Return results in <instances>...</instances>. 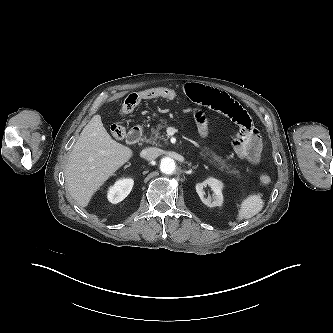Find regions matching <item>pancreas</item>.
Wrapping results in <instances>:
<instances>
[{
	"instance_id": "obj_1",
	"label": "pancreas",
	"mask_w": 333,
	"mask_h": 333,
	"mask_svg": "<svg viewBox=\"0 0 333 333\" xmlns=\"http://www.w3.org/2000/svg\"><path fill=\"white\" fill-rule=\"evenodd\" d=\"M167 126V122L166 121H162L160 124L157 125L156 129L155 128H151V133H150V137L147 138V136L144 137V141L147 143H152V144H158V142H160L161 139L164 138V135H160V130L163 129L164 127ZM201 155L204 156L205 158L208 159V161L215 165L216 167H218L221 171L226 170L228 173H234L236 174V171L231 169V166L229 164H227V160L226 159H222V157L218 156L215 152H213L211 149L209 148H204L201 151Z\"/></svg>"
}]
</instances>
